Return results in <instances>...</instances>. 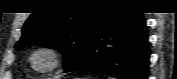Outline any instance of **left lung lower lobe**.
<instances>
[{"label":"left lung lower lobe","mask_w":177,"mask_h":79,"mask_svg":"<svg viewBox=\"0 0 177 79\" xmlns=\"http://www.w3.org/2000/svg\"><path fill=\"white\" fill-rule=\"evenodd\" d=\"M149 48L142 13L105 11L64 72L87 71L118 79H147Z\"/></svg>","instance_id":"1"}]
</instances>
